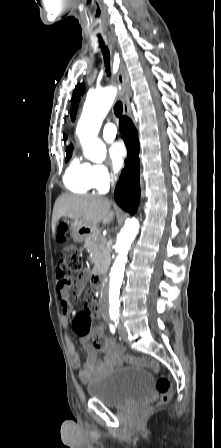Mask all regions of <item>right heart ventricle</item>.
Masks as SVG:
<instances>
[{
    "label": "right heart ventricle",
    "mask_w": 221,
    "mask_h": 448,
    "mask_svg": "<svg viewBox=\"0 0 221 448\" xmlns=\"http://www.w3.org/2000/svg\"><path fill=\"white\" fill-rule=\"evenodd\" d=\"M65 186L73 192L88 193L95 189L91 180V166L74 159L69 165L65 176Z\"/></svg>",
    "instance_id": "1"
}]
</instances>
